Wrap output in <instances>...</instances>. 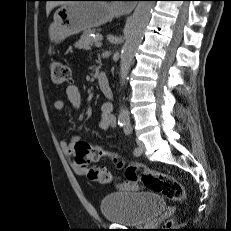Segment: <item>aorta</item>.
<instances>
[{
	"instance_id": "obj_1",
	"label": "aorta",
	"mask_w": 231,
	"mask_h": 231,
	"mask_svg": "<svg viewBox=\"0 0 231 231\" xmlns=\"http://www.w3.org/2000/svg\"><path fill=\"white\" fill-rule=\"evenodd\" d=\"M154 5V1H139L135 8L120 55L119 76L121 86L126 84V79L128 77L136 49L143 39ZM118 120L122 123H129L130 117L126 107H120Z\"/></svg>"
}]
</instances>
